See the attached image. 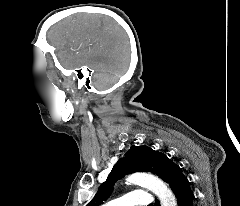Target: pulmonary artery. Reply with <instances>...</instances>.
Instances as JSON below:
<instances>
[{
    "label": "pulmonary artery",
    "mask_w": 240,
    "mask_h": 206,
    "mask_svg": "<svg viewBox=\"0 0 240 206\" xmlns=\"http://www.w3.org/2000/svg\"><path fill=\"white\" fill-rule=\"evenodd\" d=\"M153 197L143 190L131 191L124 196L111 200L103 206H147L151 204Z\"/></svg>",
    "instance_id": "1"
}]
</instances>
